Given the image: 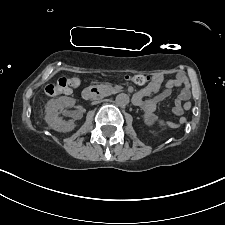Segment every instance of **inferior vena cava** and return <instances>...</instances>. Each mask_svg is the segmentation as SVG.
I'll list each match as a JSON object with an SVG mask.
<instances>
[{"instance_id": "1", "label": "inferior vena cava", "mask_w": 225, "mask_h": 225, "mask_svg": "<svg viewBox=\"0 0 225 225\" xmlns=\"http://www.w3.org/2000/svg\"><path fill=\"white\" fill-rule=\"evenodd\" d=\"M102 100L100 98L95 99L92 104H98L100 103Z\"/></svg>"}]
</instances>
